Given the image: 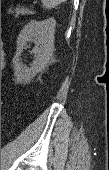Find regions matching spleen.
I'll return each mask as SVG.
<instances>
[{"instance_id":"spleen-1","label":"spleen","mask_w":109,"mask_h":170,"mask_svg":"<svg viewBox=\"0 0 109 170\" xmlns=\"http://www.w3.org/2000/svg\"><path fill=\"white\" fill-rule=\"evenodd\" d=\"M41 1L46 7L51 8V7H55L56 5L66 0H41Z\"/></svg>"}]
</instances>
